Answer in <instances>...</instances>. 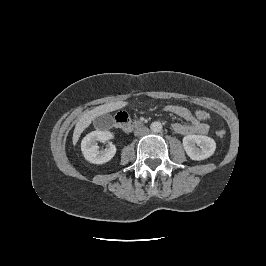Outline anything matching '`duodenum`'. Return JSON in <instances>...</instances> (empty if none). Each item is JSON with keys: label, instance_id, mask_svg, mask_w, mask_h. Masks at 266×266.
Masks as SVG:
<instances>
[{"label": "duodenum", "instance_id": "1", "mask_svg": "<svg viewBox=\"0 0 266 266\" xmlns=\"http://www.w3.org/2000/svg\"><path fill=\"white\" fill-rule=\"evenodd\" d=\"M139 125V123L132 121L131 118L125 114H117L115 117V126L123 132H129Z\"/></svg>", "mask_w": 266, "mask_h": 266}]
</instances>
